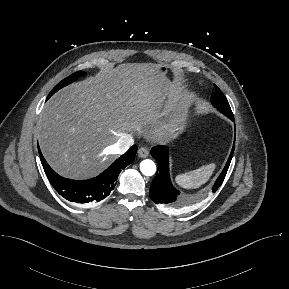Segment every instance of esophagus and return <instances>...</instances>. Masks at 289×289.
Segmentation results:
<instances>
[{
  "label": "esophagus",
  "mask_w": 289,
  "mask_h": 289,
  "mask_svg": "<svg viewBox=\"0 0 289 289\" xmlns=\"http://www.w3.org/2000/svg\"><path fill=\"white\" fill-rule=\"evenodd\" d=\"M138 156L140 158H146L149 156V150L146 147H140L138 150Z\"/></svg>",
  "instance_id": "1"
}]
</instances>
